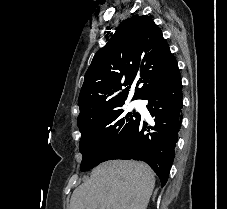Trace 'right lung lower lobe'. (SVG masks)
<instances>
[{"instance_id": "98d812e1", "label": "right lung lower lobe", "mask_w": 227, "mask_h": 209, "mask_svg": "<svg viewBox=\"0 0 227 209\" xmlns=\"http://www.w3.org/2000/svg\"><path fill=\"white\" fill-rule=\"evenodd\" d=\"M166 71L162 81L143 98L149 102L147 108L155 117V124L148 125L140 116L102 158V162L112 159L144 161L157 174L162 187L167 182L175 157L174 149L182 122V83L178 64L153 69L156 74Z\"/></svg>"}]
</instances>
